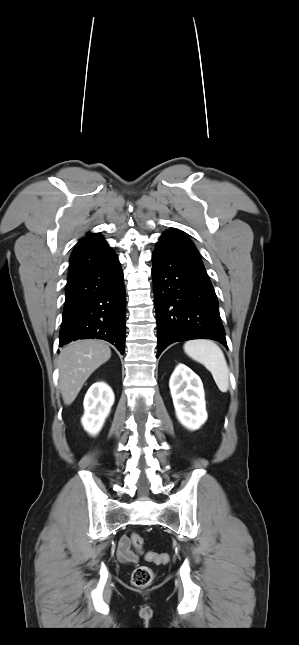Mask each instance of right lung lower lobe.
I'll list each match as a JSON object with an SVG mask.
<instances>
[{
  "label": "right lung lower lobe",
  "mask_w": 299,
  "mask_h": 645,
  "mask_svg": "<svg viewBox=\"0 0 299 645\" xmlns=\"http://www.w3.org/2000/svg\"><path fill=\"white\" fill-rule=\"evenodd\" d=\"M126 296L118 257L87 266L68 277L59 346L78 339H103L122 354Z\"/></svg>",
  "instance_id": "right-lung-lower-lobe-1"
}]
</instances>
